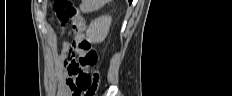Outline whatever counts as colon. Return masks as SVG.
<instances>
[{"label": "colon", "instance_id": "colon-1", "mask_svg": "<svg viewBox=\"0 0 232 96\" xmlns=\"http://www.w3.org/2000/svg\"><path fill=\"white\" fill-rule=\"evenodd\" d=\"M54 15L61 26L71 24L75 37L68 48L69 64L67 71L76 77L75 96H93L99 85L97 72L90 74L89 69L98 64V53L92 48L84 35L85 22L79 9L69 0H55Z\"/></svg>", "mask_w": 232, "mask_h": 96}]
</instances>
